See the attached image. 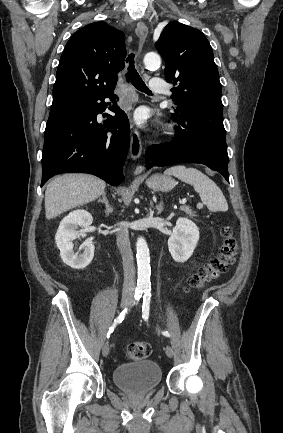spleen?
Here are the masks:
<instances>
[{
  "label": "spleen",
  "mask_w": 283,
  "mask_h": 433,
  "mask_svg": "<svg viewBox=\"0 0 283 433\" xmlns=\"http://www.w3.org/2000/svg\"><path fill=\"white\" fill-rule=\"evenodd\" d=\"M164 174H173L183 182L193 184L196 192H199L203 204H206L209 210L217 212V210H228L227 200L220 190L219 186L215 184L214 180L208 178L206 174L197 170V168H186L184 164L178 166H171L166 168Z\"/></svg>",
  "instance_id": "1"
}]
</instances>
